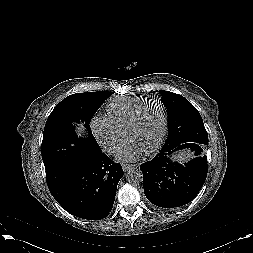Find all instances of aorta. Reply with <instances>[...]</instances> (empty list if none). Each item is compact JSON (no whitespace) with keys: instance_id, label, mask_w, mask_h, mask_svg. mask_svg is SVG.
Listing matches in <instances>:
<instances>
[{"instance_id":"aorta-1","label":"aorta","mask_w":253,"mask_h":253,"mask_svg":"<svg viewBox=\"0 0 253 253\" xmlns=\"http://www.w3.org/2000/svg\"><path fill=\"white\" fill-rule=\"evenodd\" d=\"M126 179L131 184H138L143 181V173L138 168L129 169L126 174Z\"/></svg>"}]
</instances>
